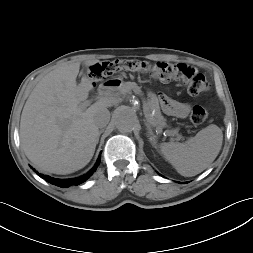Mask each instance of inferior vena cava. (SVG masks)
Wrapping results in <instances>:
<instances>
[{
	"mask_svg": "<svg viewBox=\"0 0 253 253\" xmlns=\"http://www.w3.org/2000/svg\"><path fill=\"white\" fill-rule=\"evenodd\" d=\"M109 120L110 112L108 109L101 110L94 118V121L99 128L105 127L109 123Z\"/></svg>",
	"mask_w": 253,
	"mask_h": 253,
	"instance_id": "obj_1",
	"label": "inferior vena cava"
}]
</instances>
